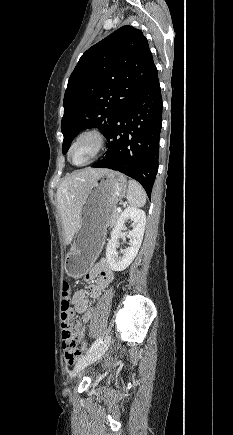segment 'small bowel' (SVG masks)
I'll use <instances>...</instances> for the list:
<instances>
[{"mask_svg": "<svg viewBox=\"0 0 233 435\" xmlns=\"http://www.w3.org/2000/svg\"><path fill=\"white\" fill-rule=\"evenodd\" d=\"M85 278L91 281V284L84 288L76 290L71 296L73 304V312L70 316H62V328H70L75 326L78 330V335L82 339L81 349H85L84 338L86 336V327L84 322L88 321L93 315L94 309L90 306V299H97L100 297L103 289L107 287L114 279L113 272L108 267L105 258L96 262L94 267L86 273ZM74 313L83 315V322L72 320Z\"/></svg>", "mask_w": 233, "mask_h": 435, "instance_id": "obj_1", "label": "small bowel"}]
</instances>
